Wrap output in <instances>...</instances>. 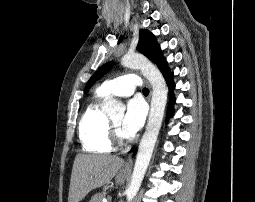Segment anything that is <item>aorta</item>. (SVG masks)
Here are the masks:
<instances>
[{
	"label": "aorta",
	"instance_id": "aorta-1",
	"mask_svg": "<svg viewBox=\"0 0 255 202\" xmlns=\"http://www.w3.org/2000/svg\"><path fill=\"white\" fill-rule=\"evenodd\" d=\"M124 67L139 69L152 86L151 109L145 133L140 141L130 185L126 190L127 200L136 196L148 168L157 141L167 103L168 89L161 72L144 56L127 54L121 59ZM110 117L123 116L125 106L116 99H107L102 107Z\"/></svg>",
	"mask_w": 255,
	"mask_h": 202
}]
</instances>
